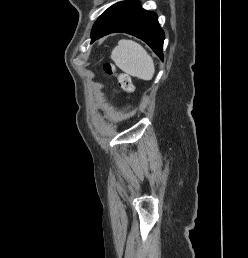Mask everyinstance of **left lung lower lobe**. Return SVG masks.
Instances as JSON below:
<instances>
[{"label":"left lung lower lobe","instance_id":"1","mask_svg":"<svg viewBox=\"0 0 248 258\" xmlns=\"http://www.w3.org/2000/svg\"><path fill=\"white\" fill-rule=\"evenodd\" d=\"M123 32L146 42L163 60L164 32L154 12L144 10L139 2L128 1L92 29V41L110 33Z\"/></svg>","mask_w":248,"mask_h":258}]
</instances>
